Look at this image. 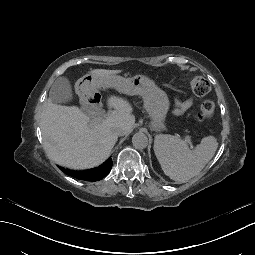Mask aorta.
Instances as JSON below:
<instances>
[{
	"mask_svg": "<svg viewBox=\"0 0 255 255\" xmlns=\"http://www.w3.org/2000/svg\"><path fill=\"white\" fill-rule=\"evenodd\" d=\"M132 144L136 149H144L148 145V138L142 132H137L132 137Z\"/></svg>",
	"mask_w": 255,
	"mask_h": 255,
	"instance_id": "aorta-1",
	"label": "aorta"
}]
</instances>
